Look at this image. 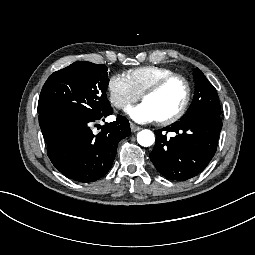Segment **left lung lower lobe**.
Instances as JSON below:
<instances>
[{
  "label": "left lung lower lobe",
  "instance_id": "left-lung-lower-lobe-1",
  "mask_svg": "<svg viewBox=\"0 0 255 255\" xmlns=\"http://www.w3.org/2000/svg\"><path fill=\"white\" fill-rule=\"evenodd\" d=\"M222 120L211 112H197L156 130L150 159L168 180L186 181L197 176L209 164L217 150ZM174 132L167 139L165 132Z\"/></svg>",
  "mask_w": 255,
  "mask_h": 255
}]
</instances>
